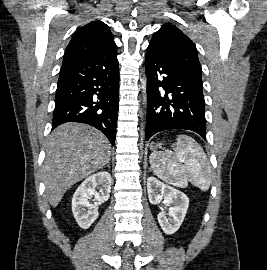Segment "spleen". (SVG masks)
Wrapping results in <instances>:
<instances>
[{"mask_svg":"<svg viewBox=\"0 0 267 270\" xmlns=\"http://www.w3.org/2000/svg\"><path fill=\"white\" fill-rule=\"evenodd\" d=\"M173 152H153L154 173L169 184L187 187L188 181L203 191L209 189L211 167L201 146L190 136L178 135Z\"/></svg>","mask_w":267,"mask_h":270,"instance_id":"3e777b00","label":"spleen"}]
</instances>
